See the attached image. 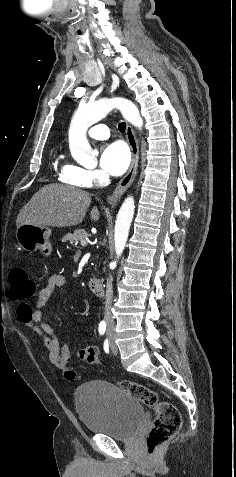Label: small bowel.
<instances>
[{
  "label": "small bowel",
  "mask_w": 236,
  "mask_h": 477,
  "mask_svg": "<svg viewBox=\"0 0 236 477\" xmlns=\"http://www.w3.org/2000/svg\"><path fill=\"white\" fill-rule=\"evenodd\" d=\"M66 283L67 281L64 275H52L40 290L37 296L35 308L32 309L30 307L29 310H26L23 313L18 312V317L21 322L43 337L49 362L54 367L60 369L65 368L68 365L73 356L74 350L72 347L60 343L54 329L44 319L43 308L55 291L64 287ZM90 347L94 350L96 356H98V347Z\"/></svg>",
  "instance_id": "obj_1"
}]
</instances>
